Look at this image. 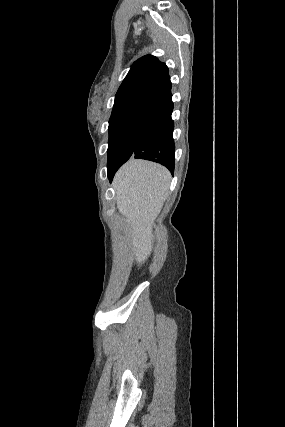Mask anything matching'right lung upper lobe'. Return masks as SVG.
Segmentation results:
<instances>
[{"instance_id":"cb5924a9","label":"right lung upper lobe","mask_w":285,"mask_h":427,"mask_svg":"<svg viewBox=\"0 0 285 427\" xmlns=\"http://www.w3.org/2000/svg\"><path fill=\"white\" fill-rule=\"evenodd\" d=\"M171 86L165 63L152 55L143 56L134 62L119 87L109 122L146 113L172 96Z\"/></svg>"}]
</instances>
